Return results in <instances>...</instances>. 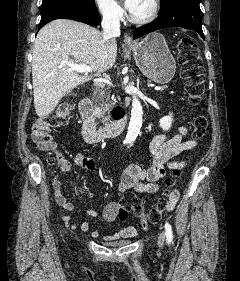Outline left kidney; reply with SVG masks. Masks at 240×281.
<instances>
[{
  "instance_id": "1",
  "label": "left kidney",
  "mask_w": 240,
  "mask_h": 281,
  "mask_svg": "<svg viewBox=\"0 0 240 281\" xmlns=\"http://www.w3.org/2000/svg\"><path fill=\"white\" fill-rule=\"evenodd\" d=\"M172 114L170 113L168 116L163 117L162 119H160L159 124L160 127L167 131L171 128V124H172Z\"/></svg>"
}]
</instances>
